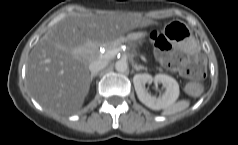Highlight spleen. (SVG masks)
Segmentation results:
<instances>
[{
	"mask_svg": "<svg viewBox=\"0 0 238 145\" xmlns=\"http://www.w3.org/2000/svg\"><path fill=\"white\" fill-rule=\"evenodd\" d=\"M190 105V102L187 100H180L170 106H168L167 108H165L163 114L164 115H173L176 114L178 112H181L185 109H187Z\"/></svg>",
	"mask_w": 238,
	"mask_h": 145,
	"instance_id": "3e777b00",
	"label": "spleen"
}]
</instances>
